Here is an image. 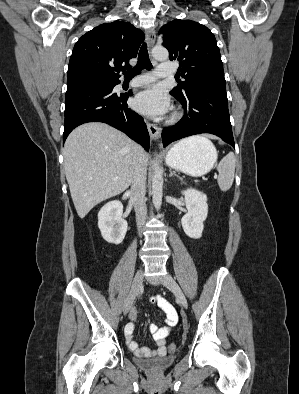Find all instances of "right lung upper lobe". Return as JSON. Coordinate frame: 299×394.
I'll use <instances>...</instances> for the list:
<instances>
[{"mask_svg":"<svg viewBox=\"0 0 299 394\" xmlns=\"http://www.w3.org/2000/svg\"><path fill=\"white\" fill-rule=\"evenodd\" d=\"M144 33L120 21L101 24L84 34L70 57L67 88L95 82L119 81V72L130 68Z\"/></svg>","mask_w":299,"mask_h":394,"instance_id":"1","label":"right lung upper lobe"}]
</instances>
